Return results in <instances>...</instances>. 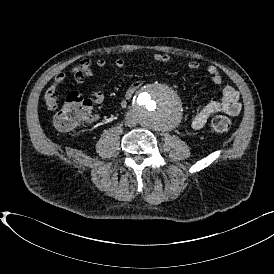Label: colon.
Wrapping results in <instances>:
<instances>
[{
    "label": "colon",
    "mask_w": 274,
    "mask_h": 274,
    "mask_svg": "<svg viewBox=\"0 0 274 274\" xmlns=\"http://www.w3.org/2000/svg\"><path fill=\"white\" fill-rule=\"evenodd\" d=\"M93 115V107L88 99L76 93H69L65 105L54 118V127L61 131H69L74 124L90 123ZM230 126L231 122L227 116L215 115L210 120L209 129L214 135H224Z\"/></svg>",
    "instance_id": "obj_1"
}]
</instances>
